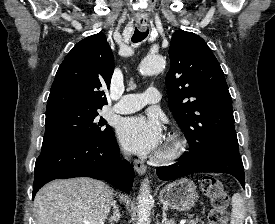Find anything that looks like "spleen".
<instances>
[{
	"mask_svg": "<svg viewBox=\"0 0 275 224\" xmlns=\"http://www.w3.org/2000/svg\"><path fill=\"white\" fill-rule=\"evenodd\" d=\"M245 218L244 201L240 193H235L232 197V211L230 224H243Z\"/></svg>",
	"mask_w": 275,
	"mask_h": 224,
	"instance_id": "1",
	"label": "spleen"
}]
</instances>
